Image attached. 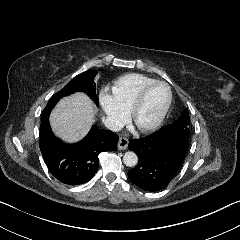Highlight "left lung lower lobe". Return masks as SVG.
I'll use <instances>...</instances> for the list:
<instances>
[{
	"instance_id": "0a47b994",
	"label": "left lung lower lobe",
	"mask_w": 240,
	"mask_h": 240,
	"mask_svg": "<svg viewBox=\"0 0 240 240\" xmlns=\"http://www.w3.org/2000/svg\"><path fill=\"white\" fill-rule=\"evenodd\" d=\"M190 131L167 125L153 134L129 142L138 164L128 172L130 181L149 191L165 188L182 165L188 150Z\"/></svg>"
}]
</instances>
